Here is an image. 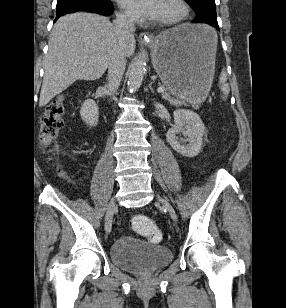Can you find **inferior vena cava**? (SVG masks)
<instances>
[{
	"label": "inferior vena cava",
	"instance_id": "1",
	"mask_svg": "<svg viewBox=\"0 0 286 308\" xmlns=\"http://www.w3.org/2000/svg\"><path fill=\"white\" fill-rule=\"evenodd\" d=\"M115 29L122 34V36H132L135 31V23L131 17L118 15L114 21ZM126 67V57L121 51L116 52L109 62L108 66V90L114 94L122 80Z\"/></svg>",
	"mask_w": 286,
	"mask_h": 308
}]
</instances>
